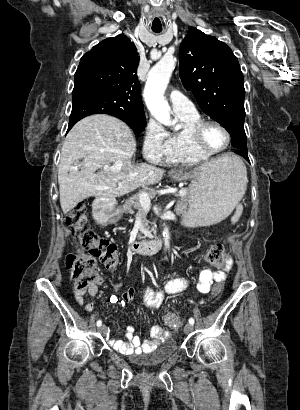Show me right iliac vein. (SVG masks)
<instances>
[{
  "label": "right iliac vein",
  "mask_w": 300,
  "mask_h": 410,
  "mask_svg": "<svg viewBox=\"0 0 300 410\" xmlns=\"http://www.w3.org/2000/svg\"><path fill=\"white\" fill-rule=\"evenodd\" d=\"M98 330H99V332H100L101 334H105V333H106V327H105L104 325L101 326V327H99Z\"/></svg>",
  "instance_id": "obj_1"
}]
</instances>
